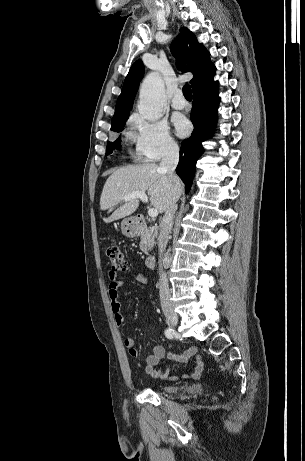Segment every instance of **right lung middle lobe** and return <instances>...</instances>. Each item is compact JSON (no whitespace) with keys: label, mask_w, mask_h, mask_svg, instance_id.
Segmentation results:
<instances>
[{"label":"right lung middle lobe","mask_w":305,"mask_h":461,"mask_svg":"<svg viewBox=\"0 0 305 461\" xmlns=\"http://www.w3.org/2000/svg\"><path fill=\"white\" fill-rule=\"evenodd\" d=\"M126 120H127V119L122 120V121H118V122H116L115 124H111V130H112V131H115V132H120V131H122L123 128H124V125H125ZM119 146H120V140H119V139H117V140L114 141V142H108V143H107L106 153H107V154L112 153L113 150H114V149H117Z\"/></svg>","instance_id":"obj_1"}]
</instances>
